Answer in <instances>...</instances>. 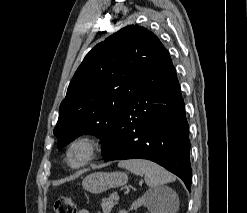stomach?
<instances>
[{"mask_svg": "<svg viewBox=\"0 0 247 213\" xmlns=\"http://www.w3.org/2000/svg\"><path fill=\"white\" fill-rule=\"evenodd\" d=\"M128 176L123 172H95L87 175L82 181V187L93 194H100L110 188L123 186Z\"/></svg>", "mask_w": 247, "mask_h": 213, "instance_id": "0dacf381", "label": "stomach"}]
</instances>
